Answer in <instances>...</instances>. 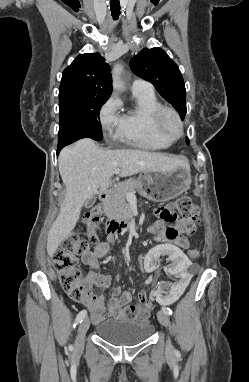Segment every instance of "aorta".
Segmentation results:
<instances>
[{
	"label": "aorta",
	"mask_w": 249,
	"mask_h": 382,
	"mask_svg": "<svg viewBox=\"0 0 249 382\" xmlns=\"http://www.w3.org/2000/svg\"><path fill=\"white\" fill-rule=\"evenodd\" d=\"M123 68L120 64H116L112 70V85L116 90L123 88V83L121 81V72Z\"/></svg>",
	"instance_id": "1"
}]
</instances>
